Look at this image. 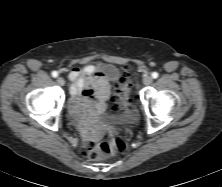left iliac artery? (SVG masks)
Here are the masks:
<instances>
[{
  "label": "left iliac artery",
  "mask_w": 222,
  "mask_h": 187,
  "mask_svg": "<svg viewBox=\"0 0 222 187\" xmlns=\"http://www.w3.org/2000/svg\"><path fill=\"white\" fill-rule=\"evenodd\" d=\"M159 75H158V73L157 72H153L152 73V77L155 79V78H157Z\"/></svg>",
  "instance_id": "obj_1"
}]
</instances>
